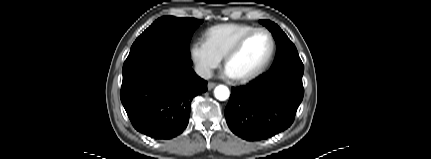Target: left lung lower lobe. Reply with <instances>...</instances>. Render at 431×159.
Instances as JSON below:
<instances>
[{
    "label": "left lung lower lobe",
    "mask_w": 431,
    "mask_h": 159,
    "mask_svg": "<svg viewBox=\"0 0 431 159\" xmlns=\"http://www.w3.org/2000/svg\"><path fill=\"white\" fill-rule=\"evenodd\" d=\"M303 71L304 66H280L246 86L233 87L225 109L231 131L259 141L290 127L304 95Z\"/></svg>",
    "instance_id": "obj_1"
}]
</instances>
